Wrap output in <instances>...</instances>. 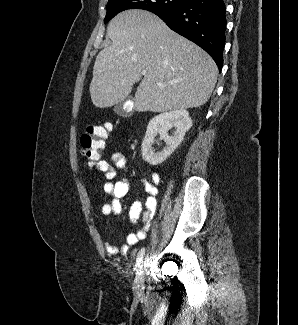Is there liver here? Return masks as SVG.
I'll use <instances>...</instances> for the list:
<instances>
[{
  "instance_id": "liver-1",
  "label": "liver",
  "mask_w": 298,
  "mask_h": 325,
  "mask_svg": "<svg viewBox=\"0 0 298 325\" xmlns=\"http://www.w3.org/2000/svg\"><path fill=\"white\" fill-rule=\"evenodd\" d=\"M107 36L112 42L97 54L89 86L94 106L122 102L135 82L138 112L193 108L210 98L218 74L213 58L156 14L123 10L110 20Z\"/></svg>"
}]
</instances>
